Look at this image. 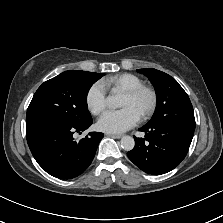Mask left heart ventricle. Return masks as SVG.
Returning a JSON list of instances; mask_svg holds the SVG:
<instances>
[{"instance_id":"b2bd125f","label":"left heart ventricle","mask_w":223,"mask_h":223,"mask_svg":"<svg viewBox=\"0 0 223 223\" xmlns=\"http://www.w3.org/2000/svg\"><path fill=\"white\" fill-rule=\"evenodd\" d=\"M148 105H149V97L147 95H142L135 99L129 98L126 95H124L121 101V106L123 107L132 106L140 116L141 113L148 107Z\"/></svg>"}]
</instances>
